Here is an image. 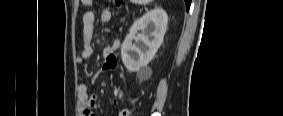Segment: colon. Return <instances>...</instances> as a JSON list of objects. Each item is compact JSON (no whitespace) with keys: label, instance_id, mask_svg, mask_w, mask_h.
Masks as SVG:
<instances>
[{"label":"colon","instance_id":"obj_1","mask_svg":"<svg viewBox=\"0 0 283 116\" xmlns=\"http://www.w3.org/2000/svg\"><path fill=\"white\" fill-rule=\"evenodd\" d=\"M122 2H123L122 0H117V1H116L117 5L122 4Z\"/></svg>","mask_w":283,"mask_h":116}]
</instances>
